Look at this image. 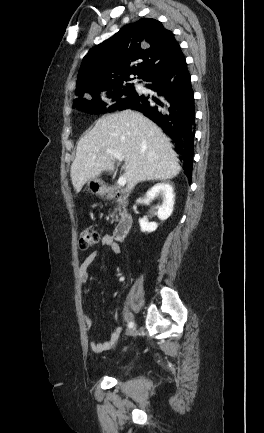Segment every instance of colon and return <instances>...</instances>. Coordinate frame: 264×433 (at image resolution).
I'll use <instances>...</instances> for the list:
<instances>
[{"instance_id":"colon-1","label":"colon","mask_w":264,"mask_h":433,"mask_svg":"<svg viewBox=\"0 0 264 433\" xmlns=\"http://www.w3.org/2000/svg\"><path fill=\"white\" fill-rule=\"evenodd\" d=\"M102 239L98 231L93 228H85L81 231L79 246L82 250H87L97 245Z\"/></svg>"}]
</instances>
